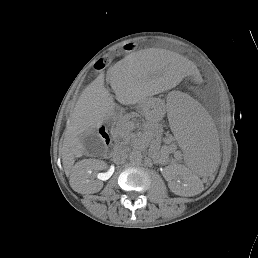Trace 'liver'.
<instances>
[{"label": "liver", "instance_id": "obj_1", "mask_svg": "<svg viewBox=\"0 0 258 258\" xmlns=\"http://www.w3.org/2000/svg\"><path fill=\"white\" fill-rule=\"evenodd\" d=\"M157 67L140 59V54L129 55L128 59L117 62L111 69L110 85L121 104H127L134 82L139 76H158ZM113 98L104 86V78L98 76L79 97L66 126L62 147V163L72 189L78 193H88L84 182L88 174L80 170L82 162L73 166L74 157L85 152L83 134L88 135L99 128L107 113L113 109Z\"/></svg>", "mask_w": 258, "mask_h": 258}]
</instances>
